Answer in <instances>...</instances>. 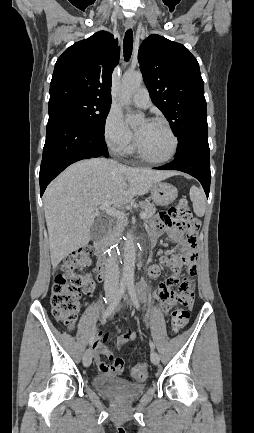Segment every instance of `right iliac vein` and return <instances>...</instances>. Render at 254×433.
<instances>
[{
    "mask_svg": "<svg viewBox=\"0 0 254 433\" xmlns=\"http://www.w3.org/2000/svg\"><path fill=\"white\" fill-rule=\"evenodd\" d=\"M115 295H116L115 291H111V292L107 293V295H106L107 303H111L112 300L114 299ZM91 362H92V351L90 349H88L84 353L83 364L85 367H89Z\"/></svg>",
    "mask_w": 254,
    "mask_h": 433,
    "instance_id": "1",
    "label": "right iliac vein"
}]
</instances>
